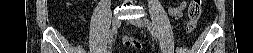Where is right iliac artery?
Listing matches in <instances>:
<instances>
[{"label":"right iliac artery","instance_id":"right-iliac-artery-1","mask_svg":"<svg viewBox=\"0 0 253 53\" xmlns=\"http://www.w3.org/2000/svg\"><path fill=\"white\" fill-rule=\"evenodd\" d=\"M112 41H113V33L110 34V37L108 39V52L107 53H110Z\"/></svg>","mask_w":253,"mask_h":53}]
</instances>
